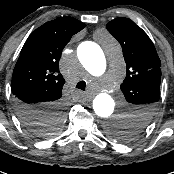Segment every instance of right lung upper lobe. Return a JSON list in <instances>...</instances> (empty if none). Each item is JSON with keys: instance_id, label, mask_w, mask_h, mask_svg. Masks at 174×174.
<instances>
[{"instance_id": "1", "label": "right lung upper lobe", "mask_w": 174, "mask_h": 174, "mask_svg": "<svg viewBox=\"0 0 174 174\" xmlns=\"http://www.w3.org/2000/svg\"><path fill=\"white\" fill-rule=\"evenodd\" d=\"M85 24L72 17H58L46 22L30 34L15 65L12 76V93L24 95L33 103L58 101L65 83L59 71V59L71 37ZM47 105L40 111L21 112L26 123L45 120ZM40 107H36L38 109Z\"/></svg>"}]
</instances>
